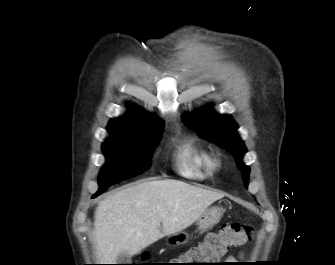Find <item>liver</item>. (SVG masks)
<instances>
[{
  "instance_id": "1",
  "label": "liver",
  "mask_w": 335,
  "mask_h": 265,
  "mask_svg": "<svg viewBox=\"0 0 335 265\" xmlns=\"http://www.w3.org/2000/svg\"><path fill=\"white\" fill-rule=\"evenodd\" d=\"M223 193L179 180H147L123 188L99 202L94 238L100 262L115 264L164 236L192 225ZM103 264V263H102Z\"/></svg>"
}]
</instances>
